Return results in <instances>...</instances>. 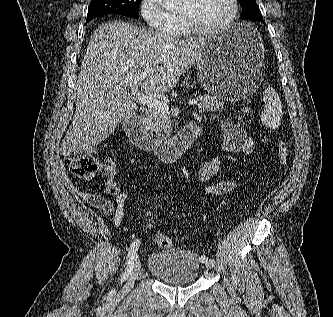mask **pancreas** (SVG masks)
Listing matches in <instances>:
<instances>
[{"label": "pancreas", "mask_w": 333, "mask_h": 317, "mask_svg": "<svg viewBox=\"0 0 333 317\" xmlns=\"http://www.w3.org/2000/svg\"><path fill=\"white\" fill-rule=\"evenodd\" d=\"M199 112L220 111L224 109V104L213 95H206L198 104ZM146 123L150 131L158 138H169L172 128V120L168 113H163L155 109L150 110L146 116Z\"/></svg>", "instance_id": "1"}]
</instances>
